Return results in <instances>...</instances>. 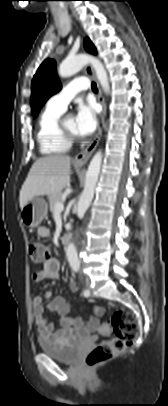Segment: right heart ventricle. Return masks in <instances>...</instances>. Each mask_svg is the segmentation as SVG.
<instances>
[{
    "instance_id": "obj_1",
    "label": "right heart ventricle",
    "mask_w": 168,
    "mask_h": 406,
    "mask_svg": "<svg viewBox=\"0 0 168 406\" xmlns=\"http://www.w3.org/2000/svg\"><path fill=\"white\" fill-rule=\"evenodd\" d=\"M63 112L47 105L40 115L36 138L39 150L44 155L65 153L71 146V142L61 134L58 126Z\"/></svg>"
}]
</instances>
